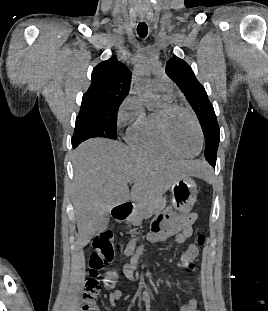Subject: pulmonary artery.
<instances>
[{
    "instance_id": "pulmonary-artery-1",
    "label": "pulmonary artery",
    "mask_w": 268,
    "mask_h": 311,
    "mask_svg": "<svg viewBox=\"0 0 268 311\" xmlns=\"http://www.w3.org/2000/svg\"><path fill=\"white\" fill-rule=\"evenodd\" d=\"M153 87L156 91L161 92L166 97H172V85L167 76L162 75L153 80Z\"/></svg>"
}]
</instances>
